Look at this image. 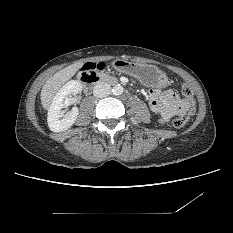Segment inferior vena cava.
<instances>
[{"label":"inferior vena cava","instance_id":"1","mask_svg":"<svg viewBox=\"0 0 233 233\" xmlns=\"http://www.w3.org/2000/svg\"><path fill=\"white\" fill-rule=\"evenodd\" d=\"M111 94V87L107 83L100 82L95 85L93 95L97 98H103Z\"/></svg>","mask_w":233,"mask_h":233}]
</instances>
